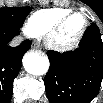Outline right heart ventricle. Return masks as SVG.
<instances>
[{"mask_svg":"<svg viewBox=\"0 0 103 103\" xmlns=\"http://www.w3.org/2000/svg\"><path fill=\"white\" fill-rule=\"evenodd\" d=\"M70 12L67 8L51 7L34 12L25 24V32L32 37H40L47 33L52 24Z\"/></svg>","mask_w":103,"mask_h":103,"instance_id":"1","label":"right heart ventricle"}]
</instances>
